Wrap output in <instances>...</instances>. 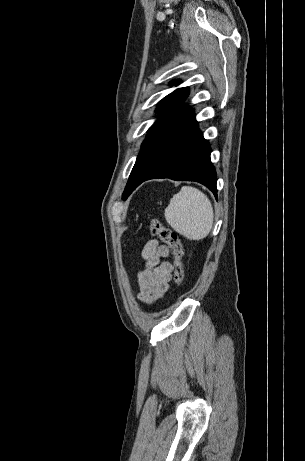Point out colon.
Wrapping results in <instances>:
<instances>
[{"label":"colon","mask_w":305,"mask_h":461,"mask_svg":"<svg viewBox=\"0 0 305 461\" xmlns=\"http://www.w3.org/2000/svg\"><path fill=\"white\" fill-rule=\"evenodd\" d=\"M149 229L151 235L160 237V239L172 249L174 259V281L177 286H181L185 277L183 261L184 248L178 235L156 219L151 220Z\"/></svg>","instance_id":"1"}]
</instances>
